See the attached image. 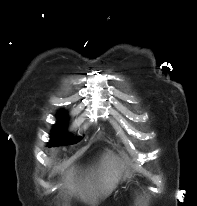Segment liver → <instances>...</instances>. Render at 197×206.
<instances>
[{
    "label": "liver",
    "mask_w": 197,
    "mask_h": 206,
    "mask_svg": "<svg viewBox=\"0 0 197 206\" xmlns=\"http://www.w3.org/2000/svg\"><path fill=\"white\" fill-rule=\"evenodd\" d=\"M123 172L124 163L112 151H107L98 167L85 178L77 177L74 168L66 171V186L83 200L96 204L98 197H107L112 192Z\"/></svg>",
    "instance_id": "1"
}]
</instances>
